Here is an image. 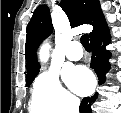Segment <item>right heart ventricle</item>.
Listing matches in <instances>:
<instances>
[{
	"mask_svg": "<svg viewBox=\"0 0 121 113\" xmlns=\"http://www.w3.org/2000/svg\"><path fill=\"white\" fill-rule=\"evenodd\" d=\"M30 113H48L47 110L32 96L29 103Z\"/></svg>",
	"mask_w": 121,
	"mask_h": 113,
	"instance_id": "1",
	"label": "right heart ventricle"
}]
</instances>
